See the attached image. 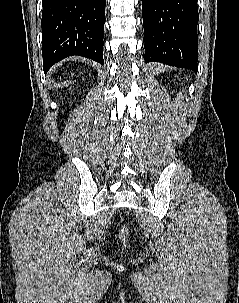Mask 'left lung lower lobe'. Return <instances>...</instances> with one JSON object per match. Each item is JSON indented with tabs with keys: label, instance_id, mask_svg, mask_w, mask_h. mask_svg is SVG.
Returning a JSON list of instances; mask_svg holds the SVG:
<instances>
[{
	"label": "left lung lower lobe",
	"instance_id": "left-lung-lower-lobe-1",
	"mask_svg": "<svg viewBox=\"0 0 239 303\" xmlns=\"http://www.w3.org/2000/svg\"><path fill=\"white\" fill-rule=\"evenodd\" d=\"M145 61L198 71L197 0H142Z\"/></svg>",
	"mask_w": 239,
	"mask_h": 303
}]
</instances>
